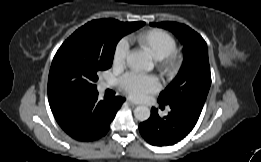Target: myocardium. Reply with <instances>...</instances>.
<instances>
[{"mask_svg":"<svg viewBox=\"0 0 261 162\" xmlns=\"http://www.w3.org/2000/svg\"><path fill=\"white\" fill-rule=\"evenodd\" d=\"M181 65V56L173 51L166 55L164 58L160 59V67L166 73H175L178 71Z\"/></svg>","mask_w":261,"mask_h":162,"instance_id":"f54148a6","label":"myocardium"}]
</instances>
